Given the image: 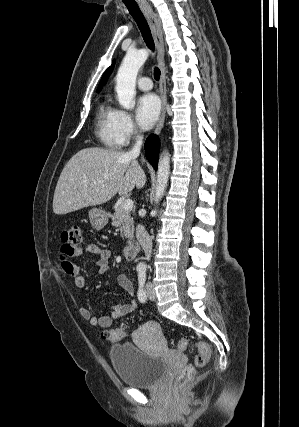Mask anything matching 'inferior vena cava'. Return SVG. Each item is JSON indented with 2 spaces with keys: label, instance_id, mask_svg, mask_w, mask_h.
Returning a JSON list of instances; mask_svg holds the SVG:
<instances>
[{
  "label": "inferior vena cava",
  "instance_id": "obj_1",
  "mask_svg": "<svg viewBox=\"0 0 299 427\" xmlns=\"http://www.w3.org/2000/svg\"><path fill=\"white\" fill-rule=\"evenodd\" d=\"M142 140L143 136H137L136 143L130 151L131 154H139L142 145ZM136 238L145 253L146 259L148 260L152 253V238L147 233L144 226L141 224H138L136 227Z\"/></svg>",
  "mask_w": 299,
  "mask_h": 427
}]
</instances>
